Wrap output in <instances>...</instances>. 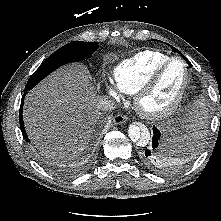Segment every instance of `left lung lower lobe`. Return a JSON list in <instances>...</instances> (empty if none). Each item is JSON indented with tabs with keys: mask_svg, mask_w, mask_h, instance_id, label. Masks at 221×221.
I'll list each match as a JSON object with an SVG mask.
<instances>
[{
	"mask_svg": "<svg viewBox=\"0 0 221 221\" xmlns=\"http://www.w3.org/2000/svg\"><path fill=\"white\" fill-rule=\"evenodd\" d=\"M160 131L153 126V138H152V147L150 149H146L143 154V161L147 165L154 166L155 164L159 163L157 160V155L160 150Z\"/></svg>",
	"mask_w": 221,
	"mask_h": 221,
	"instance_id": "0a47b994",
	"label": "left lung lower lobe"
}]
</instances>
